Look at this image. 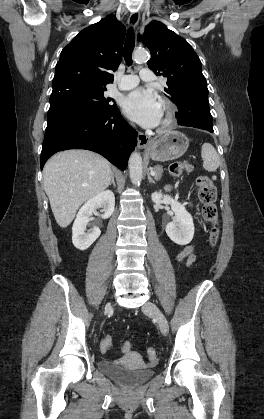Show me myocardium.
<instances>
[{"label":"myocardium","instance_id":"myocardium-1","mask_svg":"<svg viewBox=\"0 0 264 419\" xmlns=\"http://www.w3.org/2000/svg\"><path fill=\"white\" fill-rule=\"evenodd\" d=\"M162 107V120L159 126L160 131H164L171 127L176 119V106L173 102L168 99H162L161 102Z\"/></svg>","mask_w":264,"mask_h":419}]
</instances>
